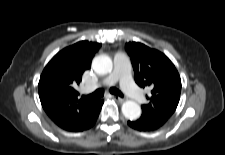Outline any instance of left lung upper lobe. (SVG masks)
Returning <instances> with one entry per match:
<instances>
[{
    "label": "left lung upper lobe",
    "mask_w": 225,
    "mask_h": 155,
    "mask_svg": "<svg viewBox=\"0 0 225 155\" xmlns=\"http://www.w3.org/2000/svg\"><path fill=\"white\" fill-rule=\"evenodd\" d=\"M131 57L136 83L152 88L148 103L142 105V116L170 118L180 99L181 79L173 63L163 53L138 43H126Z\"/></svg>",
    "instance_id": "obj_1"
}]
</instances>
